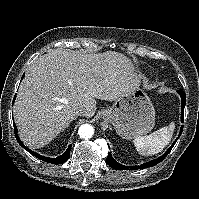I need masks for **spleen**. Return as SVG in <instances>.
I'll return each mask as SVG.
<instances>
[{"label":"spleen","instance_id":"1","mask_svg":"<svg viewBox=\"0 0 199 199\" xmlns=\"http://www.w3.org/2000/svg\"><path fill=\"white\" fill-rule=\"evenodd\" d=\"M175 123L171 122L147 136L137 137L133 140L136 150L144 156H151L161 152L171 141Z\"/></svg>","mask_w":199,"mask_h":199}]
</instances>
